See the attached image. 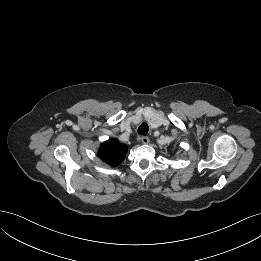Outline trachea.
<instances>
[{
    "instance_id": "trachea-1",
    "label": "trachea",
    "mask_w": 261,
    "mask_h": 261,
    "mask_svg": "<svg viewBox=\"0 0 261 261\" xmlns=\"http://www.w3.org/2000/svg\"><path fill=\"white\" fill-rule=\"evenodd\" d=\"M148 131H149V126H148V124L145 123V122L142 123V124L139 126V128H138V134H140V135H147Z\"/></svg>"
}]
</instances>
